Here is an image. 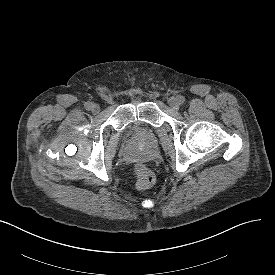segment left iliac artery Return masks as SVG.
Wrapping results in <instances>:
<instances>
[{"label": "left iliac artery", "mask_w": 275, "mask_h": 275, "mask_svg": "<svg viewBox=\"0 0 275 275\" xmlns=\"http://www.w3.org/2000/svg\"><path fill=\"white\" fill-rule=\"evenodd\" d=\"M177 99L179 101V104H183L184 101H185V98L183 96H181V95L177 96Z\"/></svg>", "instance_id": "44dca946"}]
</instances>
